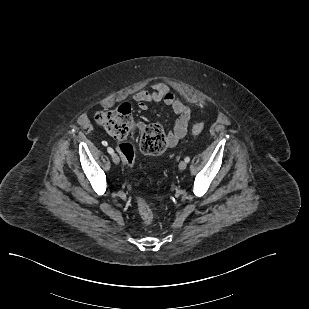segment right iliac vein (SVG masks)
Masks as SVG:
<instances>
[{
	"label": "right iliac vein",
	"mask_w": 309,
	"mask_h": 309,
	"mask_svg": "<svg viewBox=\"0 0 309 309\" xmlns=\"http://www.w3.org/2000/svg\"><path fill=\"white\" fill-rule=\"evenodd\" d=\"M112 160L115 164H119L120 163V158L117 154H112Z\"/></svg>",
	"instance_id": "obj_1"
}]
</instances>
